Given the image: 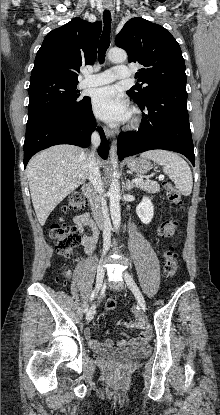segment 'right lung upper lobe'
Returning a JSON list of instances; mask_svg holds the SVG:
<instances>
[{
  "label": "right lung upper lobe",
  "instance_id": "1",
  "mask_svg": "<svg viewBox=\"0 0 220 415\" xmlns=\"http://www.w3.org/2000/svg\"><path fill=\"white\" fill-rule=\"evenodd\" d=\"M102 24L79 17L52 30L37 52L30 80L57 78L78 81L79 68L94 63Z\"/></svg>",
  "mask_w": 220,
  "mask_h": 415
}]
</instances>
